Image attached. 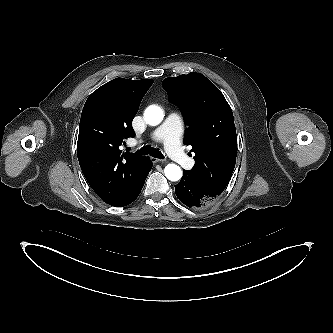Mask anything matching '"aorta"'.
Instances as JSON below:
<instances>
[{
  "instance_id": "aorta-1",
  "label": "aorta",
  "mask_w": 333,
  "mask_h": 333,
  "mask_svg": "<svg viewBox=\"0 0 333 333\" xmlns=\"http://www.w3.org/2000/svg\"><path fill=\"white\" fill-rule=\"evenodd\" d=\"M145 120L149 125L156 126L163 120L164 114L160 107L151 105L144 113ZM165 176L170 181H178L182 177V170L175 164H168L165 169Z\"/></svg>"
}]
</instances>
